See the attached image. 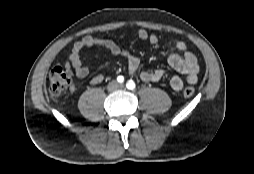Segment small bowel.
<instances>
[{"label": "small bowel", "instance_id": "small-bowel-1", "mask_svg": "<svg viewBox=\"0 0 254 174\" xmlns=\"http://www.w3.org/2000/svg\"><path fill=\"white\" fill-rule=\"evenodd\" d=\"M137 36L141 40H146L152 45L158 43V37L154 34H149L146 30L140 29ZM89 47H103L110 50L114 55H119L127 60L128 72L135 75L140 65V59L127 50L120 49L114 42L108 39L99 38L91 35H85L81 39L74 42L71 48L70 55L66 62V67L73 68L75 75L78 78H85L89 75V69L83 64L81 51ZM168 64L177 72L183 74L185 79L174 76L170 80V86L174 91H180L184 84L193 85L198 81L199 65L195 55L188 50L187 44L183 41H176L174 49L168 53ZM166 71L156 69L153 71H142L139 77L144 83H156L163 79ZM104 81L103 75H96L91 79L92 85H99ZM78 85L72 82L70 85L71 91H76Z\"/></svg>", "mask_w": 254, "mask_h": 174}]
</instances>
